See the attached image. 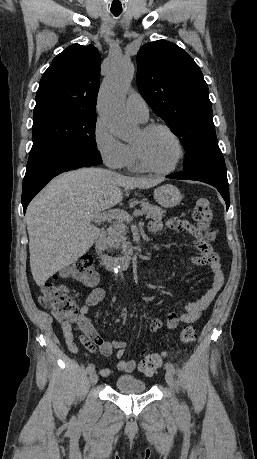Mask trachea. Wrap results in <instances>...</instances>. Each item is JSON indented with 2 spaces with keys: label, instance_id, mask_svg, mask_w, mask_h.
Returning <instances> with one entry per match:
<instances>
[{
  "label": "trachea",
  "instance_id": "3493384b",
  "mask_svg": "<svg viewBox=\"0 0 257 459\" xmlns=\"http://www.w3.org/2000/svg\"><path fill=\"white\" fill-rule=\"evenodd\" d=\"M114 16H119L121 14V11H112Z\"/></svg>",
  "mask_w": 257,
  "mask_h": 459
}]
</instances>
